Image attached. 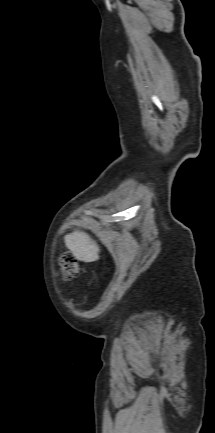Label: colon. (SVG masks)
I'll list each match as a JSON object with an SVG mask.
<instances>
[{
  "mask_svg": "<svg viewBox=\"0 0 215 433\" xmlns=\"http://www.w3.org/2000/svg\"><path fill=\"white\" fill-rule=\"evenodd\" d=\"M59 273L65 279H71L79 275L81 268L71 253H63L59 258Z\"/></svg>",
  "mask_w": 215,
  "mask_h": 433,
  "instance_id": "5ec220e1",
  "label": "colon"
}]
</instances>
